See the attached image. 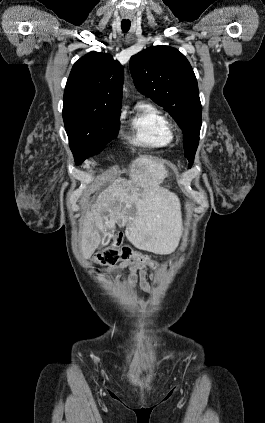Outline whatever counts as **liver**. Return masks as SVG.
<instances>
[{"instance_id":"liver-1","label":"liver","mask_w":265,"mask_h":423,"mask_svg":"<svg viewBox=\"0 0 265 423\" xmlns=\"http://www.w3.org/2000/svg\"><path fill=\"white\" fill-rule=\"evenodd\" d=\"M97 197L83 221L80 250L89 259L101 243V232L126 226L127 239L138 249L159 255L175 251L182 235L181 205L178 197L162 188L167 177L164 164L142 156L130 167V181L117 177ZM143 191L138 192L135 186ZM135 215L130 216L131 208Z\"/></svg>"}]
</instances>
